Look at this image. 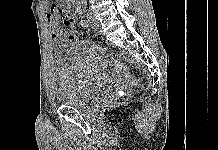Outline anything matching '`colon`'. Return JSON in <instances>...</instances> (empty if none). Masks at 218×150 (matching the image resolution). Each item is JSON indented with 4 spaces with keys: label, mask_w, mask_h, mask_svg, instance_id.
<instances>
[{
    "label": "colon",
    "mask_w": 218,
    "mask_h": 150,
    "mask_svg": "<svg viewBox=\"0 0 218 150\" xmlns=\"http://www.w3.org/2000/svg\"><path fill=\"white\" fill-rule=\"evenodd\" d=\"M77 22V16L73 12H67L64 18V24L69 29L67 32V39L76 40L78 38V32L75 28Z\"/></svg>",
    "instance_id": "1"
}]
</instances>
